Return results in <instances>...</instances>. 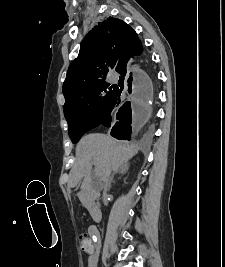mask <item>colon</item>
I'll use <instances>...</instances> for the list:
<instances>
[{"instance_id": "1", "label": "colon", "mask_w": 225, "mask_h": 267, "mask_svg": "<svg viewBox=\"0 0 225 267\" xmlns=\"http://www.w3.org/2000/svg\"><path fill=\"white\" fill-rule=\"evenodd\" d=\"M80 244H81L82 249L85 252H90L92 250V243L87 236L82 235L80 237Z\"/></svg>"}]
</instances>
